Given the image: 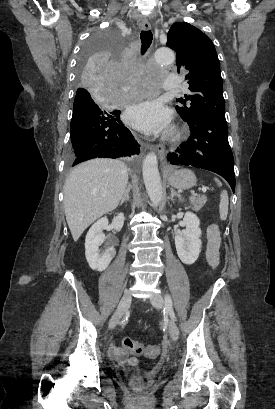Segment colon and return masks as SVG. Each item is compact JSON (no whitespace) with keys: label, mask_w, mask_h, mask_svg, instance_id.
Listing matches in <instances>:
<instances>
[{"label":"colon","mask_w":275,"mask_h":409,"mask_svg":"<svg viewBox=\"0 0 275 409\" xmlns=\"http://www.w3.org/2000/svg\"><path fill=\"white\" fill-rule=\"evenodd\" d=\"M123 346L128 349L130 353H135L137 358H157L160 344L158 342H148L138 340L123 341ZM131 384L137 388H140L144 384V380L140 377H134L131 379Z\"/></svg>","instance_id":"obj_1"}]
</instances>
